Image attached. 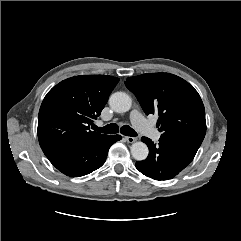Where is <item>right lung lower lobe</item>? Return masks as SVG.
<instances>
[{"mask_svg":"<svg viewBox=\"0 0 241 241\" xmlns=\"http://www.w3.org/2000/svg\"><path fill=\"white\" fill-rule=\"evenodd\" d=\"M120 139L119 135H104L87 144L58 150L47 158L63 174L80 177L100 168L109 148Z\"/></svg>","mask_w":241,"mask_h":241,"instance_id":"98d812e1","label":"right lung lower lobe"}]
</instances>
